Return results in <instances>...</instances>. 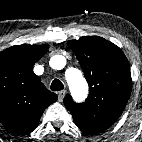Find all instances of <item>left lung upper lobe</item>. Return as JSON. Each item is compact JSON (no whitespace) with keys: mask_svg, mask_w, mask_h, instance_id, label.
<instances>
[{"mask_svg":"<svg viewBox=\"0 0 142 142\" xmlns=\"http://www.w3.org/2000/svg\"><path fill=\"white\" fill-rule=\"evenodd\" d=\"M67 44L84 71L89 95L81 104L67 95L64 104L81 130L90 134L102 132L117 121L130 97L128 60L119 47L101 37L84 36Z\"/></svg>","mask_w":142,"mask_h":142,"instance_id":"obj_1","label":"left lung upper lobe"}]
</instances>
